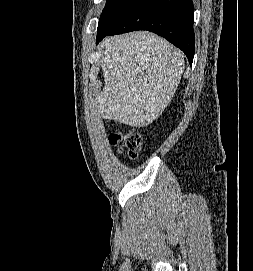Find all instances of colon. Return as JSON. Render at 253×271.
<instances>
[{
    "label": "colon",
    "instance_id": "5ec220e1",
    "mask_svg": "<svg viewBox=\"0 0 253 271\" xmlns=\"http://www.w3.org/2000/svg\"><path fill=\"white\" fill-rule=\"evenodd\" d=\"M109 144L119 151L126 152L131 158H135L141 150L143 139L141 135L132 131H118L110 135Z\"/></svg>",
    "mask_w": 253,
    "mask_h": 271
}]
</instances>
